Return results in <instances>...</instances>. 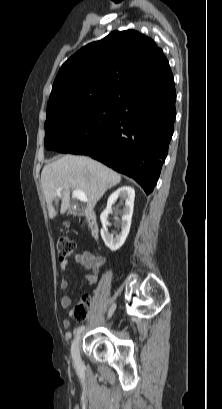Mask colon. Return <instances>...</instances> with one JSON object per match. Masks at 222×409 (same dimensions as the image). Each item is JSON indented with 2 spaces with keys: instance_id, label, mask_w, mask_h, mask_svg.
I'll return each mask as SVG.
<instances>
[{
  "instance_id": "1",
  "label": "colon",
  "mask_w": 222,
  "mask_h": 409,
  "mask_svg": "<svg viewBox=\"0 0 222 409\" xmlns=\"http://www.w3.org/2000/svg\"><path fill=\"white\" fill-rule=\"evenodd\" d=\"M57 252L59 259L67 262L76 255V245L69 238L61 237L57 241ZM90 311V300L88 297L83 298L74 308L73 315L76 319H84Z\"/></svg>"
}]
</instances>
